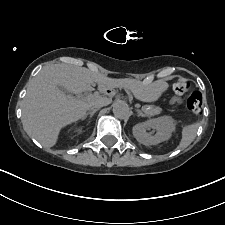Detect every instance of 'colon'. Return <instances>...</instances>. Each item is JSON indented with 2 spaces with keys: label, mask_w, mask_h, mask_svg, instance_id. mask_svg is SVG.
<instances>
[{
  "label": "colon",
  "mask_w": 225,
  "mask_h": 225,
  "mask_svg": "<svg viewBox=\"0 0 225 225\" xmlns=\"http://www.w3.org/2000/svg\"><path fill=\"white\" fill-rule=\"evenodd\" d=\"M189 88L190 84L185 79H178L173 84V90L178 95L186 93ZM187 107L194 114L200 113L203 108V97L201 93L197 91L193 92L187 100Z\"/></svg>",
  "instance_id": "colon-1"
}]
</instances>
